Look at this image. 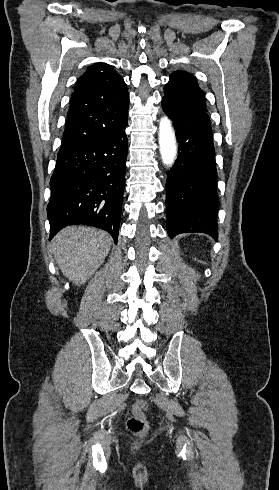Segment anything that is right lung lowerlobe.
Returning a JSON list of instances; mask_svg holds the SVG:
<instances>
[{
  "label": "right lung lower lobe",
  "instance_id": "right-lung-lower-lobe-1",
  "mask_svg": "<svg viewBox=\"0 0 279 490\" xmlns=\"http://www.w3.org/2000/svg\"><path fill=\"white\" fill-rule=\"evenodd\" d=\"M126 126L58 152L47 207L49 240L68 225L82 224L109 232L117 243L125 186Z\"/></svg>",
  "mask_w": 279,
  "mask_h": 490
}]
</instances>
